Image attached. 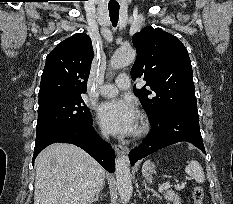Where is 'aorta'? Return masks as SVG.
<instances>
[{
	"label": "aorta",
	"mask_w": 233,
	"mask_h": 204,
	"mask_svg": "<svg viewBox=\"0 0 233 204\" xmlns=\"http://www.w3.org/2000/svg\"><path fill=\"white\" fill-rule=\"evenodd\" d=\"M136 58V52L132 47H121L111 58L110 65L113 69H120L130 65ZM115 174L117 187L121 201L127 203L132 195L131 174L125 157H118L115 161Z\"/></svg>",
	"instance_id": "aorta-1"
}]
</instances>
